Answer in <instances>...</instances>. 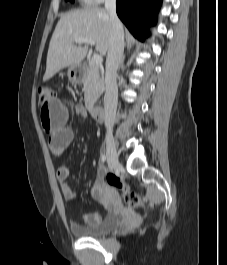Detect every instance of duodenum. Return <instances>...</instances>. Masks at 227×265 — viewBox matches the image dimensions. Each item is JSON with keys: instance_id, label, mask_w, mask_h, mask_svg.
I'll use <instances>...</instances> for the list:
<instances>
[{"instance_id": "obj_1", "label": "duodenum", "mask_w": 227, "mask_h": 265, "mask_svg": "<svg viewBox=\"0 0 227 265\" xmlns=\"http://www.w3.org/2000/svg\"><path fill=\"white\" fill-rule=\"evenodd\" d=\"M90 112H91L92 117L96 121H98V122L103 121L104 116H105V112H104V109L101 105L92 106Z\"/></svg>"}]
</instances>
